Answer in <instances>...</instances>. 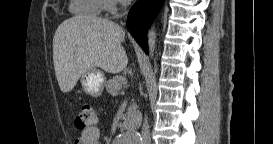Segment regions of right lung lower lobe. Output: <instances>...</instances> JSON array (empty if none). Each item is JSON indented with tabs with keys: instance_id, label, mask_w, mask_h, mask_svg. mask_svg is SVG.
Segmentation results:
<instances>
[{
	"instance_id": "obj_1",
	"label": "right lung lower lobe",
	"mask_w": 273,
	"mask_h": 144,
	"mask_svg": "<svg viewBox=\"0 0 273 144\" xmlns=\"http://www.w3.org/2000/svg\"><path fill=\"white\" fill-rule=\"evenodd\" d=\"M163 2L164 0H138L129 11L127 28L146 53H148L146 33Z\"/></svg>"
}]
</instances>
